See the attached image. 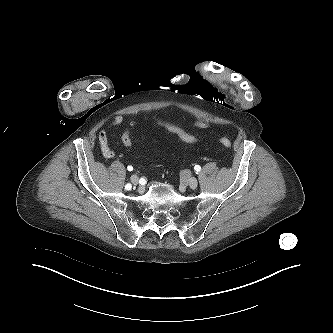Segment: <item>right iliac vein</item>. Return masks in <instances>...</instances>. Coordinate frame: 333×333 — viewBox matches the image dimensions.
I'll return each instance as SVG.
<instances>
[{
    "label": "right iliac vein",
    "instance_id": "1",
    "mask_svg": "<svg viewBox=\"0 0 333 333\" xmlns=\"http://www.w3.org/2000/svg\"><path fill=\"white\" fill-rule=\"evenodd\" d=\"M131 181L134 185H138L139 183V178L136 175L131 176Z\"/></svg>",
    "mask_w": 333,
    "mask_h": 333
}]
</instances>
